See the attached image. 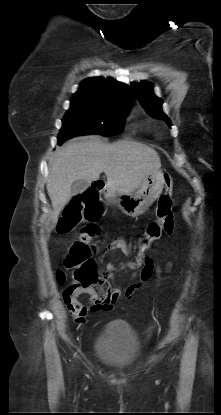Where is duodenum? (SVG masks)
<instances>
[{"label": "duodenum", "instance_id": "duodenum-1", "mask_svg": "<svg viewBox=\"0 0 221 415\" xmlns=\"http://www.w3.org/2000/svg\"><path fill=\"white\" fill-rule=\"evenodd\" d=\"M94 186L97 190L102 191L105 187V183L102 180H97L94 182Z\"/></svg>", "mask_w": 221, "mask_h": 415}]
</instances>
